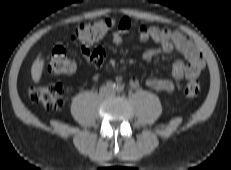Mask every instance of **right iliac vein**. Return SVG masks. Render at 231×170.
<instances>
[{"label":"right iliac vein","instance_id":"63e3f726","mask_svg":"<svg viewBox=\"0 0 231 170\" xmlns=\"http://www.w3.org/2000/svg\"><path fill=\"white\" fill-rule=\"evenodd\" d=\"M107 92H108V91H107V89H106V88H103V89L101 90V94H102V95L107 94Z\"/></svg>","mask_w":231,"mask_h":170}]
</instances>
